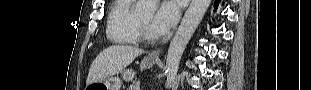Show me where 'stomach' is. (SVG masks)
Instances as JSON below:
<instances>
[{"label": "stomach", "instance_id": "obj_1", "mask_svg": "<svg viewBox=\"0 0 311 90\" xmlns=\"http://www.w3.org/2000/svg\"><path fill=\"white\" fill-rule=\"evenodd\" d=\"M157 59L145 57L140 64L141 69L151 68ZM135 71L132 69H126L122 71L121 76L125 81H132L135 77ZM122 80L117 76H110L107 79L95 82L87 86L86 90H121Z\"/></svg>", "mask_w": 311, "mask_h": 90}]
</instances>
